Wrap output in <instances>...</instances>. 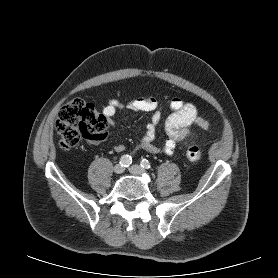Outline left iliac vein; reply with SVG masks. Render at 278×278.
Returning <instances> with one entry per match:
<instances>
[{
    "mask_svg": "<svg viewBox=\"0 0 278 278\" xmlns=\"http://www.w3.org/2000/svg\"><path fill=\"white\" fill-rule=\"evenodd\" d=\"M129 171L134 175H142L145 171L139 165H132L129 168Z\"/></svg>",
    "mask_w": 278,
    "mask_h": 278,
    "instance_id": "4c4485c4",
    "label": "left iliac vein"
}]
</instances>
